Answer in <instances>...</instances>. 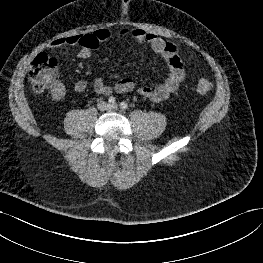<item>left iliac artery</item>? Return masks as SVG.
I'll return each mask as SVG.
<instances>
[{
	"label": "left iliac artery",
	"mask_w": 263,
	"mask_h": 263,
	"mask_svg": "<svg viewBox=\"0 0 263 263\" xmlns=\"http://www.w3.org/2000/svg\"><path fill=\"white\" fill-rule=\"evenodd\" d=\"M120 107H121V109L126 110L127 107H128V105H127L126 102H121V103H120Z\"/></svg>",
	"instance_id": "1"
}]
</instances>
